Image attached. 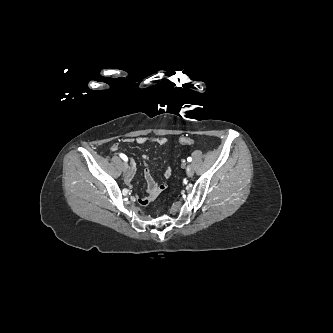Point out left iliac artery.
Wrapping results in <instances>:
<instances>
[{"instance_id": "1", "label": "left iliac artery", "mask_w": 333, "mask_h": 333, "mask_svg": "<svg viewBox=\"0 0 333 333\" xmlns=\"http://www.w3.org/2000/svg\"><path fill=\"white\" fill-rule=\"evenodd\" d=\"M187 161H188V162H191V161H192V158H191V157H188V158H187Z\"/></svg>"}]
</instances>
